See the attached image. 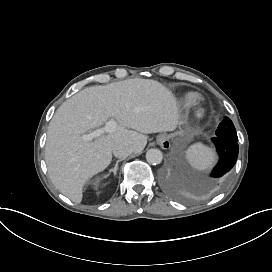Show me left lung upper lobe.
Wrapping results in <instances>:
<instances>
[{
    "instance_id": "left-lung-upper-lobe-1",
    "label": "left lung upper lobe",
    "mask_w": 272,
    "mask_h": 272,
    "mask_svg": "<svg viewBox=\"0 0 272 272\" xmlns=\"http://www.w3.org/2000/svg\"><path fill=\"white\" fill-rule=\"evenodd\" d=\"M216 136L238 141L236 129L228 117H225L224 120L219 124L216 130Z\"/></svg>"
}]
</instances>
